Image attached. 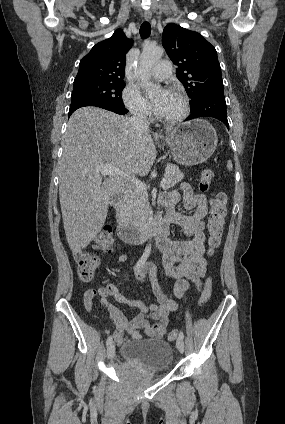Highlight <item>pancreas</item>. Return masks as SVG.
<instances>
[{
  "mask_svg": "<svg viewBox=\"0 0 285 424\" xmlns=\"http://www.w3.org/2000/svg\"><path fill=\"white\" fill-rule=\"evenodd\" d=\"M166 183L164 188L174 187L183 179L180 169L173 164L166 166ZM149 213L148 193L141 189L131 188L125 194L120 209V216L133 226L139 225Z\"/></svg>",
  "mask_w": 285,
  "mask_h": 424,
  "instance_id": "obj_1",
  "label": "pancreas"
}]
</instances>
